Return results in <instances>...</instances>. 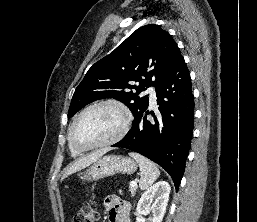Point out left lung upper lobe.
<instances>
[{"label": "left lung upper lobe", "mask_w": 257, "mask_h": 222, "mask_svg": "<svg viewBox=\"0 0 257 222\" xmlns=\"http://www.w3.org/2000/svg\"><path fill=\"white\" fill-rule=\"evenodd\" d=\"M182 59L168 32L155 24L138 28L112 53L91 66L74 92L68 118L93 101L114 98L123 102L136 119L149 103L148 96L139 94L148 87L156 88Z\"/></svg>", "instance_id": "obj_1"}]
</instances>
